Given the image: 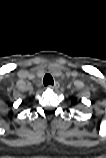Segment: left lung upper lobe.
<instances>
[{
	"instance_id": "5c2ea615",
	"label": "left lung upper lobe",
	"mask_w": 106,
	"mask_h": 158,
	"mask_svg": "<svg viewBox=\"0 0 106 158\" xmlns=\"http://www.w3.org/2000/svg\"><path fill=\"white\" fill-rule=\"evenodd\" d=\"M72 102H73V104H76V99H73V101H72Z\"/></svg>"
}]
</instances>
